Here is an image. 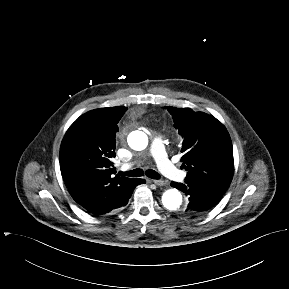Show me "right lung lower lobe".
Masks as SVG:
<instances>
[{
  "label": "right lung lower lobe",
  "instance_id": "obj_1",
  "mask_svg": "<svg viewBox=\"0 0 289 289\" xmlns=\"http://www.w3.org/2000/svg\"><path fill=\"white\" fill-rule=\"evenodd\" d=\"M145 183L144 179H138L137 185Z\"/></svg>",
  "mask_w": 289,
  "mask_h": 289
}]
</instances>
